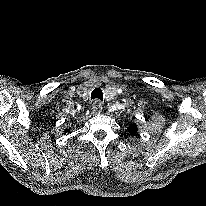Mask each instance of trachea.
Segmentation results:
<instances>
[{"label": "trachea", "mask_w": 206, "mask_h": 206, "mask_svg": "<svg viewBox=\"0 0 206 206\" xmlns=\"http://www.w3.org/2000/svg\"><path fill=\"white\" fill-rule=\"evenodd\" d=\"M91 99L103 100V92L100 87H96L91 93Z\"/></svg>", "instance_id": "obj_1"}]
</instances>
